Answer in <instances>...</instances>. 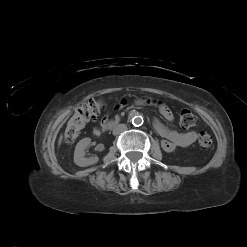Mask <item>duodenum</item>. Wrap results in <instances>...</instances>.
Instances as JSON below:
<instances>
[{"mask_svg": "<svg viewBox=\"0 0 247 247\" xmlns=\"http://www.w3.org/2000/svg\"><path fill=\"white\" fill-rule=\"evenodd\" d=\"M118 123H119V121L116 120V119L109 120V121H107V122L105 123L104 128H105L106 130H109V129L113 128L114 126H116Z\"/></svg>", "mask_w": 247, "mask_h": 247, "instance_id": "410a0bca", "label": "duodenum"}]
</instances>
